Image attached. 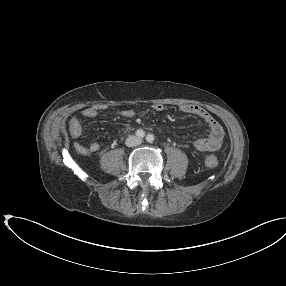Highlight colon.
Returning <instances> with one entry per match:
<instances>
[{
	"label": "colon",
	"mask_w": 286,
	"mask_h": 286,
	"mask_svg": "<svg viewBox=\"0 0 286 286\" xmlns=\"http://www.w3.org/2000/svg\"><path fill=\"white\" fill-rule=\"evenodd\" d=\"M204 163L207 167L209 168H214L218 165V160L215 156L213 155H208L204 159Z\"/></svg>",
	"instance_id": "obj_1"
}]
</instances>
